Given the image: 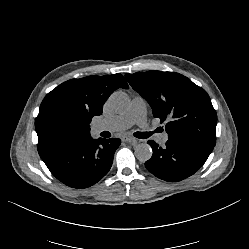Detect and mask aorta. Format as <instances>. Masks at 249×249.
Instances as JSON below:
<instances>
[{
  "label": "aorta",
  "mask_w": 249,
  "mask_h": 249,
  "mask_svg": "<svg viewBox=\"0 0 249 249\" xmlns=\"http://www.w3.org/2000/svg\"><path fill=\"white\" fill-rule=\"evenodd\" d=\"M108 107L116 113L126 112L130 105L128 95L122 91L114 92L108 99ZM135 156L139 161H148L152 157V148L147 143H140L135 148Z\"/></svg>",
  "instance_id": "obj_1"
}]
</instances>
